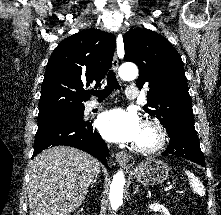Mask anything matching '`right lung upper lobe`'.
<instances>
[{
  "label": "right lung upper lobe",
  "mask_w": 221,
  "mask_h": 215,
  "mask_svg": "<svg viewBox=\"0 0 221 215\" xmlns=\"http://www.w3.org/2000/svg\"><path fill=\"white\" fill-rule=\"evenodd\" d=\"M116 37L99 29L80 31L53 51L41 87L39 114L50 116L84 108L87 87H100L112 67Z\"/></svg>",
  "instance_id": "right-lung-upper-lobe-1"
}]
</instances>
